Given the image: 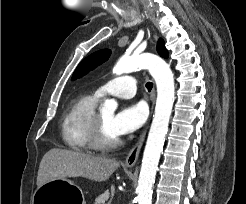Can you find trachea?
<instances>
[{
    "label": "trachea",
    "instance_id": "trachea-1",
    "mask_svg": "<svg viewBox=\"0 0 246 204\" xmlns=\"http://www.w3.org/2000/svg\"><path fill=\"white\" fill-rule=\"evenodd\" d=\"M146 88L148 89V91H151V89L153 88V83L152 82H147L146 83Z\"/></svg>",
    "mask_w": 246,
    "mask_h": 204
}]
</instances>
